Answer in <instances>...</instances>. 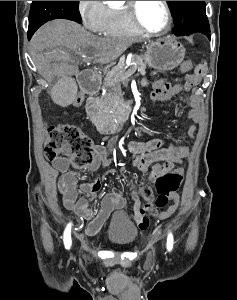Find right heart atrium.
Masks as SVG:
<instances>
[{
    "mask_svg": "<svg viewBox=\"0 0 237 300\" xmlns=\"http://www.w3.org/2000/svg\"><path fill=\"white\" fill-rule=\"evenodd\" d=\"M84 26L96 34H107L110 29V8L104 1H78Z\"/></svg>",
    "mask_w": 237,
    "mask_h": 300,
    "instance_id": "obj_1",
    "label": "right heart atrium"
}]
</instances>
